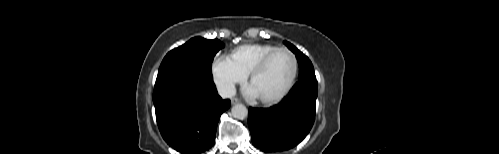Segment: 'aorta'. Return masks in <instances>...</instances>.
I'll return each mask as SVG.
<instances>
[{"label": "aorta", "instance_id": "obj_1", "mask_svg": "<svg viewBox=\"0 0 499 154\" xmlns=\"http://www.w3.org/2000/svg\"><path fill=\"white\" fill-rule=\"evenodd\" d=\"M231 115L236 119H244L248 116V109L243 104H236L231 109Z\"/></svg>", "mask_w": 499, "mask_h": 154}]
</instances>
